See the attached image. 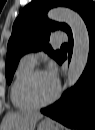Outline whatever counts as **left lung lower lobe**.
Instances as JSON below:
<instances>
[{
    "label": "left lung lower lobe",
    "mask_w": 95,
    "mask_h": 130,
    "mask_svg": "<svg viewBox=\"0 0 95 130\" xmlns=\"http://www.w3.org/2000/svg\"><path fill=\"white\" fill-rule=\"evenodd\" d=\"M90 38V52L87 66L77 84L67 90L53 105L41 112L70 128L89 129L95 118V11L84 19ZM69 60L72 54L73 39L69 35ZM66 59L62 53L57 62Z\"/></svg>",
    "instance_id": "0a47b994"
}]
</instances>
